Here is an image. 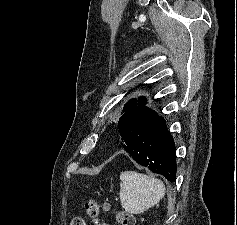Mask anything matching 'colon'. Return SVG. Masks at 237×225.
<instances>
[{
  "instance_id": "1",
  "label": "colon",
  "mask_w": 237,
  "mask_h": 225,
  "mask_svg": "<svg viewBox=\"0 0 237 225\" xmlns=\"http://www.w3.org/2000/svg\"><path fill=\"white\" fill-rule=\"evenodd\" d=\"M86 212L89 217L96 218L101 210H109L110 206L106 203H100L97 200L91 199L86 202ZM117 222L119 225H135V218L125 212L117 214ZM70 225H86L85 220L80 216H73L70 220Z\"/></svg>"
}]
</instances>
